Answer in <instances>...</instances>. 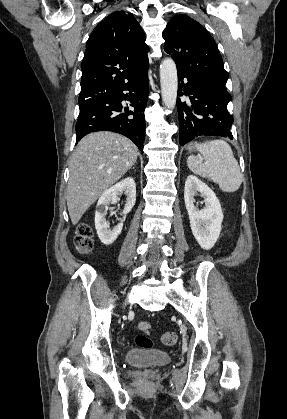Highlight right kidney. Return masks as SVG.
I'll use <instances>...</instances> for the list:
<instances>
[{"label":"right kidney","instance_id":"obj_1","mask_svg":"<svg viewBox=\"0 0 287 419\" xmlns=\"http://www.w3.org/2000/svg\"><path fill=\"white\" fill-rule=\"evenodd\" d=\"M127 196V201L122 214H128L135 205L136 184L133 178L128 177L106 190L98 200L95 212V228L101 242L105 245L112 244L122 231L123 223H118L112 229L106 221L108 205L115 204L122 193Z\"/></svg>","mask_w":287,"mask_h":419}]
</instances>
